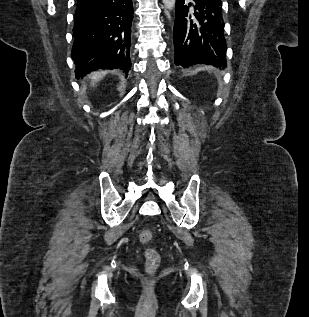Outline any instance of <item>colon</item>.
<instances>
[{"label": "colon", "mask_w": 309, "mask_h": 317, "mask_svg": "<svg viewBox=\"0 0 309 317\" xmlns=\"http://www.w3.org/2000/svg\"><path fill=\"white\" fill-rule=\"evenodd\" d=\"M153 234L149 229L141 230L139 233V240L143 244H148L152 241ZM146 259V271L149 274H153L160 265V255L159 253L151 247H147L145 250Z\"/></svg>", "instance_id": "5ec220e1"}]
</instances>
